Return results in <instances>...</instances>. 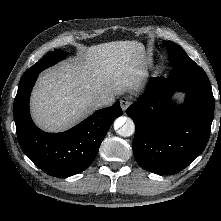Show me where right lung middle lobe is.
<instances>
[{
  "mask_svg": "<svg viewBox=\"0 0 221 221\" xmlns=\"http://www.w3.org/2000/svg\"><path fill=\"white\" fill-rule=\"evenodd\" d=\"M68 55V52H64L61 50H55L46 56L42 57L36 64L30 67L22 76V78L28 77L30 74L36 71H43L44 69L54 65L55 63L65 59Z\"/></svg>",
  "mask_w": 221,
  "mask_h": 221,
  "instance_id": "dd1d6c3e",
  "label": "right lung middle lobe"
}]
</instances>
